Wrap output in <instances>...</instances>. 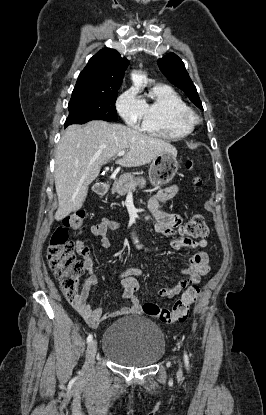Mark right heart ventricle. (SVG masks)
<instances>
[{
	"label": "right heart ventricle",
	"mask_w": 266,
	"mask_h": 415,
	"mask_svg": "<svg viewBox=\"0 0 266 415\" xmlns=\"http://www.w3.org/2000/svg\"><path fill=\"white\" fill-rule=\"evenodd\" d=\"M142 130L164 139H179L192 132L193 125L183 120L188 108L181 95L168 85L153 86L144 100Z\"/></svg>",
	"instance_id": "right-heart-ventricle-1"
}]
</instances>
